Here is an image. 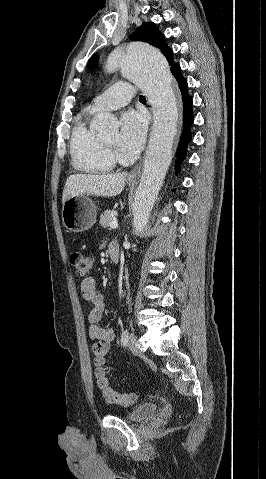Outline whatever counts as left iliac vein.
Listing matches in <instances>:
<instances>
[{
	"instance_id": "1",
	"label": "left iliac vein",
	"mask_w": 266,
	"mask_h": 479,
	"mask_svg": "<svg viewBox=\"0 0 266 479\" xmlns=\"http://www.w3.org/2000/svg\"><path fill=\"white\" fill-rule=\"evenodd\" d=\"M128 348L135 355H141L142 354V351L139 347L136 335L132 334L130 336L129 341H128Z\"/></svg>"
}]
</instances>
